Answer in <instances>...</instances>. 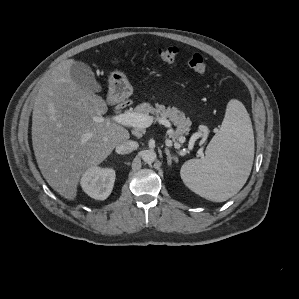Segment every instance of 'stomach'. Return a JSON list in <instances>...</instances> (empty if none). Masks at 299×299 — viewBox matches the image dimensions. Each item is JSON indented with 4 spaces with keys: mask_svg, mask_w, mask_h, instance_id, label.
Returning a JSON list of instances; mask_svg holds the SVG:
<instances>
[{
    "mask_svg": "<svg viewBox=\"0 0 299 299\" xmlns=\"http://www.w3.org/2000/svg\"><path fill=\"white\" fill-rule=\"evenodd\" d=\"M109 92L117 99H125L132 94V87L123 72L115 70L110 73Z\"/></svg>",
    "mask_w": 299,
    "mask_h": 299,
    "instance_id": "stomach-1",
    "label": "stomach"
}]
</instances>
